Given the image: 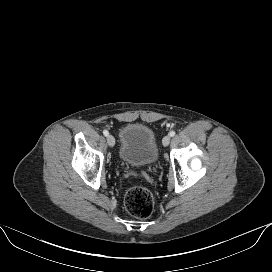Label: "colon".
<instances>
[{
	"label": "colon",
	"mask_w": 272,
	"mask_h": 272,
	"mask_svg": "<svg viewBox=\"0 0 272 272\" xmlns=\"http://www.w3.org/2000/svg\"><path fill=\"white\" fill-rule=\"evenodd\" d=\"M124 203L126 210L137 218L149 217L154 207L152 194L141 185H134L127 190Z\"/></svg>",
	"instance_id": "1"
}]
</instances>
